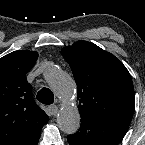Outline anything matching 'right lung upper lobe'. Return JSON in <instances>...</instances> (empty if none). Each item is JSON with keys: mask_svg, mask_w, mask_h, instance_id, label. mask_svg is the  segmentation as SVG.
<instances>
[{"mask_svg": "<svg viewBox=\"0 0 145 145\" xmlns=\"http://www.w3.org/2000/svg\"><path fill=\"white\" fill-rule=\"evenodd\" d=\"M37 57L33 51H15L0 58V145H17L49 120L26 79Z\"/></svg>", "mask_w": 145, "mask_h": 145, "instance_id": "right-lung-upper-lobe-1", "label": "right lung upper lobe"}]
</instances>
